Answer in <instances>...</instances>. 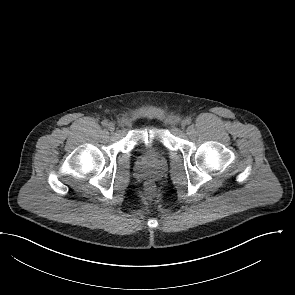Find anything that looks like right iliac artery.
Wrapping results in <instances>:
<instances>
[{
	"label": "right iliac artery",
	"instance_id": "obj_1",
	"mask_svg": "<svg viewBox=\"0 0 295 295\" xmlns=\"http://www.w3.org/2000/svg\"><path fill=\"white\" fill-rule=\"evenodd\" d=\"M102 125H103V126H107V125H108V121H107V120H103V121H102Z\"/></svg>",
	"mask_w": 295,
	"mask_h": 295
}]
</instances>
